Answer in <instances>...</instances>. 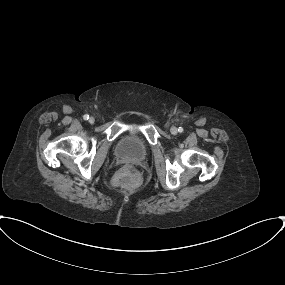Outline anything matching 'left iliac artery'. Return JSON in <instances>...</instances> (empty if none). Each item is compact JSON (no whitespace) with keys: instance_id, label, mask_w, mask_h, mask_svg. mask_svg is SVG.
I'll return each instance as SVG.
<instances>
[{"instance_id":"1","label":"left iliac artery","mask_w":285,"mask_h":285,"mask_svg":"<svg viewBox=\"0 0 285 285\" xmlns=\"http://www.w3.org/2000/svg\"><path fill=\"white\" fill-rule=\"evenodd\" d=\"M178 131H179V132H182V131H183V128H182V127H179V128H178Z\"/></svg>"}]
</instances>
